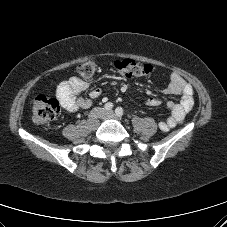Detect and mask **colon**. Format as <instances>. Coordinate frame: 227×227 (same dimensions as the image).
<instances>
[{
    "label": "colon",
    "instance_id": "obj_1",
    "mask_svg": "<svg viewBox=\"0 0 227 227\" xmlns=\"http://www.w3.org/2000/svg\"><path fill=\"white\" fill-rule=\"evenodd\" d=\"M115 69L125 77H145L152 73L153 67L149 64H141L132 59H119L114 62ZM96 72V64L87 61L80 64L77 73L84 79H90ZM60 114L59 102L45 95H38L32 105V121L37 125L50 123Z\"/></svg>",
    "mask_w": 227,
    "mask_h": 227
}]
</instances>
